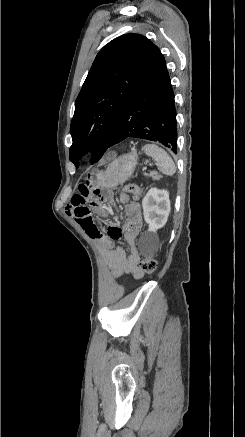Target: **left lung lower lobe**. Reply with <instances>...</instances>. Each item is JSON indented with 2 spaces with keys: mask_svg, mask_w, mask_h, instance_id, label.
I'll use <instances>...</instances> for the list:
<instances>
[{
  "mask_svg": "<svg viewBox=\"0 0 245 437\" xmlns=\"http://www.w3.org/2000/svg\"><path fill=\"white\" fill-rule=\"evenodd\" d=\"M128 137L157 141L174 152L177 149L174 93L160 51L122 109L108 148Z\"/></svg>",
  "mask_w": 245,
  "mask_h": 437,
  "instance_id": "0a47b994",
  "label": "left lung lower lobe"
}]
</instances>
